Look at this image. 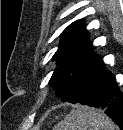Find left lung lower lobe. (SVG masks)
Listing matches in <instances>:
<instances>
[{"instance_id":"left-lung-lower-lobe-1","label":"left lung lower lobe","mask_w":123,"mask_h":130,"mask_svg":"<svg viewBox=\"0 0 123 130\" xmlns=\"http://www.w3.org/2000/svg\"><path fill=\"white\" fill-rule=\"evenodd\" d=\"M77 103L100 108L123 128V93L112 73L103 69L100 59L90 72Z\"/></svg>"}]
</instances>
